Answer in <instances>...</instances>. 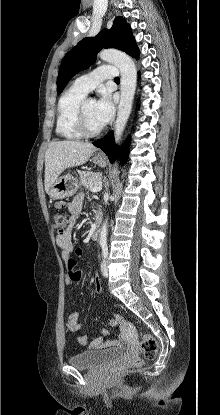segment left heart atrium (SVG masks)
<instances>
[{
  "label": "left heart atrium",
  "instance_id": "obj_1",
  "mask_svg": "<svg viewBox=\"0 0 220 415\" xmlns=\"http://www.w3.org/2000/svg\"><path fill=\"white\" fill-rule=\"evenodd\" d=\"M114 107L111 96L107 91H102L100 98L95 103V115L99 123L103 126L113 117Z\"/></svg>",
  "mask_w": 220,
  "mask_h": 415
}]
</instances>
